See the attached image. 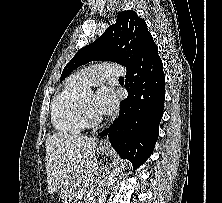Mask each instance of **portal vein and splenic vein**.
<instances>
[{"instance_id": "portal-vein-and-splenic-vein-1", "label": "portal vein and splenic vein", "mask_w": 222, "mask_h": 203, "mask_svg": "<svg viewBox=\"0 0 222 203\" xmlns=\"http://www.w3.org/2000/svg\"><path fill=\"white\" fill-rule=\"evenodd\" d=\"M91 182H93V180H89V182H88V184H87V185H89Z\"/></svg>"}]
</instances>
